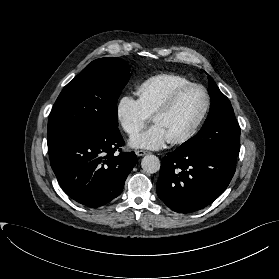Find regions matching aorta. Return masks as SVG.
<instances>
[{
    "label": "aorta",
    "mask_w": 279,
    "mask_h": 279,
    "mask_svg": "<svg viewBox=\"0 0 279 279\" xmlns=\"http://www.w3.org/2000/svg\"><path fill=\"white\" fill-rule=\"evenodd\" d=\"M160 165V160L155 155H146L141 161L142 169L150 174L158 172Z\"/></svg>",
    "instance_id": "1"
}]
</instances>
